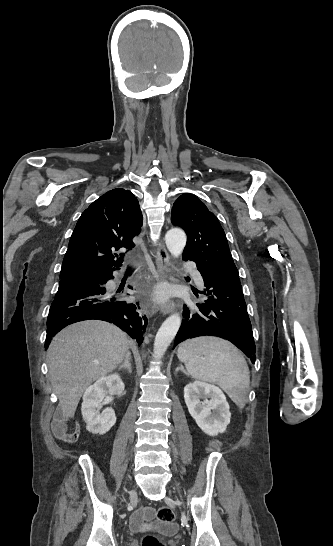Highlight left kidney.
Listing matches in <instances>:
<instances>
[{
    "instance_id": "1",
    "label": "left kidney",
    "mask_w": 333,
    "mask_h": 546,
    "mask_svg": "<svg viewBox=\"0 0 333 546\" xmlns=\"http://www.w3.org/2000/svg\"><path fill=\"white\" fill-rule=\"evenodd\" d=\"M184 399L190 415L204 433L215 436L225 432L230 423L231 413L220 388L195 381L185 386Z\"/></svg>"
}]
</instances>
